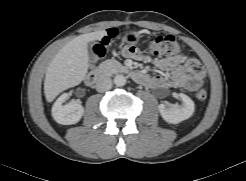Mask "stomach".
Returning a JSON list of instances; mask_svg holds the SVG:
<instances>
[{"mask_svg":"<svg viewBox=\"0 0 246 181\" xmlns=\"http://www.w3.org/2000/svg\"><path fill=\"white\" fill-rule=\"evenodd\" d=\"M140 37L138 32H129L123 37V40L128 44H136Z\"/></svg>","mask_w":246,"mask_h":181,"instance_id":"0dacf381","label":"stomach"}]
</instances>
